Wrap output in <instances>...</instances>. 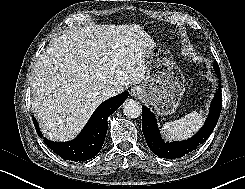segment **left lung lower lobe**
<instances>
[{"mask_svg":"<svg viewBox=\"0 0 245 189\" xmlns=\"http://www.w3.org/2000/svg\"><path fill=\"white\" fill-rule=\"evenodd\" d=\"M213 69L220 80V69L217 61L213 63ZM222 108L221 84L212 100L209 116L203 127L190 139L181 142H167L162 140L155 115L145 106H142V131L151 151L162 158H180L195 150L200 144L205 142L214 130Z\"/></svg>","mask_w":245,"mask_h":189,"instance_id":"1","label":"left lung lower lobe"}]
</instances>
